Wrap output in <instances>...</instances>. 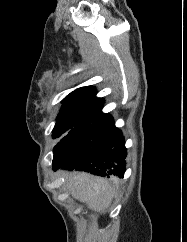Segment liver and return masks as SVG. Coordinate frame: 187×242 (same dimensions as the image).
I'll use <instances>...</instances> for the list:
<instances>
[{
    "instance_id": "liver-1",
    "label": "liver",
    "mask_w": 187,
    "mask_h": 242,
    "mask_svg": "<svg viewBox=\"0 0 187 242\" xmlns=\"http://www.w3.org/2000/svg\"><path fill=\"white\" fill-rule=\"evenodd\" d=\"M61 174L65 177V189L70 191L72 197L86 203L96 212L108 208L114 190L106 179L86 172H61Z\"/></svg>"
}]
</instances>
